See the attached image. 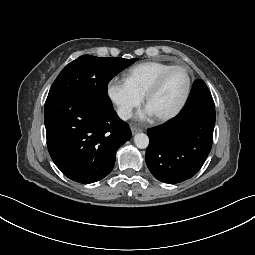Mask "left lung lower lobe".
I'll return each mask as SVG.
<instances>
[{"instance_id": "0a47b994", "label": "left lung lower lobe", "mask_w": 255, "mask_h": 255, "mask_svg": "<svg viewBox=\"0 0 255 255\" xmlns=\"http://www.w3.org/2000/svg\"><path fill=\"white\" fill-rule=\"evenodd\" d=\"M214 125L213 98L205 82L196 80L180 113L147 130L145 160L153 176L169 184L192 178L211 150Z\"/></svg>"}]
</instances>
